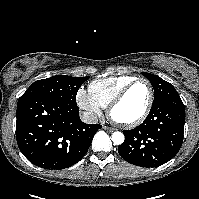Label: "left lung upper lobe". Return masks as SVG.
<instances>
[{
	"instance_id": "1",
	"label": "left lung upper lobe",
	"mask_w": 199,
	"mask_h": 199,
	"mask_svg": "<svg viewBox=\"0 0 199 199\" xmlns=\"http://www.w3.org/2000/svg\"><path fill=\"white\" fill-rule=\"evenodd\" d=\"M142 74L148 78L154 89V101L152 105L170 98L179 97L177 91L169 82L151 73L142 72Z\"/></svg>"
}]
</instances>
